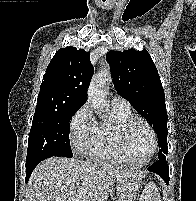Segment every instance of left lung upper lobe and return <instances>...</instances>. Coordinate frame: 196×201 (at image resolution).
I'll list each match as a JSON object with an SVG mask.
<instances>
[{"label": "left lung upper lobe", "mask_w": 196, "mask_h": 201, "mask_svg": "<svg viewBox=\"0 0 196 201\" xmlns=\"http://www.w3.org/2000/svg\"><path fill=\"white\" fill-rule=\"evenodd\" d=\"M107 60L117 93L149 121L159 140L158 158L167 154V112L161 80L146 49L110 51Z\"/></svg>", "instance_id": "obj_1"}]
</instances>
